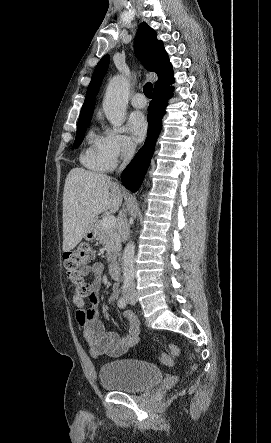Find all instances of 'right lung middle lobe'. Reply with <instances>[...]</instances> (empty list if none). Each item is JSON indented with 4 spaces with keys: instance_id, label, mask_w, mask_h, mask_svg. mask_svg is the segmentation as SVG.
Returning a JSON list of instances; mask_svg holds the SVG:
<instances>
[{
    "instance_id": "1",
    "label": "right lung middle lobe",
    "mask_w": 271,
    "mask_h": 443,
    "mask_svg": "<svg viewBox=\"0 0 271 443\" xmlns=\"http://www.w3.org/2000/svg\"><path fill=\"white\" fill-rule=\"evenodd\" d=\"M90 121H91V117H87V118H83V119L78 120L77 133H76V138L74 141V148H78L80 146V144L82 143L86 129H87Z\"/></svg>"
}]
</instances>
